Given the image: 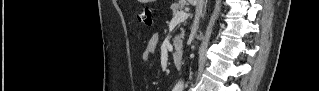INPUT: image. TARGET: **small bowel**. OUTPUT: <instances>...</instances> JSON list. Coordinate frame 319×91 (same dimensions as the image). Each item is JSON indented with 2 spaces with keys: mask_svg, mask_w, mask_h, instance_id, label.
<instances>
[{
  "mask_svg": "<svg viewBox=\"0 0 319 91\" xmlns=\"http://www.w3.org/2000/svg\"><path fill=\"white\" fill-rule=\"evenodd\" d=\"M158 44V37L153 35L151 36V38L149 39V42L147 44V47L145 48V50L142 53V61L145 63H149L152 60V56L156 50Z\"/></svg>",
  "mask_w": 319,
  "mask_h": 91,
  "instance_id": "1",
  "label": "small bowel"
}]
</instances>
